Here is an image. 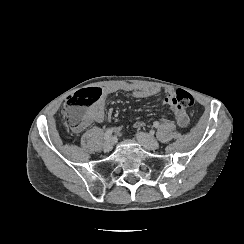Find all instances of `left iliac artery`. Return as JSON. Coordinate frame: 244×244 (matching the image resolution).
I'll return each instance as SVG.
<instances>
[{
  "mask_svg": "<svg viewBox=\"0 0 244 244\" xmlns=\"http://www.w3.org/2000/svg\"><path fill=\"white\" fill-rule=\"evenodd\" d=\"M153 126H154L155 128H158V127H159V122L155 121V122L153 123Z\"/></svg>",
  "mask_w": 244,
  "mask_h": 244,
  "instance_id": "left-iliac-artery-1",
  "label": "left iliac artery"
}]
</instances>
